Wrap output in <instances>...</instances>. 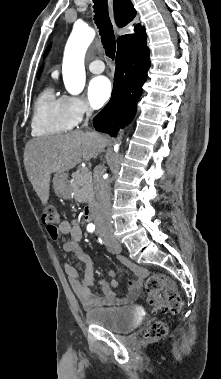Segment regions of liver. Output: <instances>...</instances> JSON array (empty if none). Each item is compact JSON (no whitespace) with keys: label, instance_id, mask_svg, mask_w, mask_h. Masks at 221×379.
I'll return each mask as SVG.
<instances>
[{"label":"liver","instance_id":"6515ba94","mask_svg":"<svg viewBox=\"0 0 221 379\" xmlns=\"http://www.w3.org/2000/svg\"><path fill=\"white\" fill-rule=\"evenodd\" d=\"M107 142L98 133L81 130L31 139L25 146L24 165L42 204L46 205L49 199L52 173L71 170L82 160L96 158Z\"/></svg>","mask_w":221,"mask_h":379}]
</instances>
